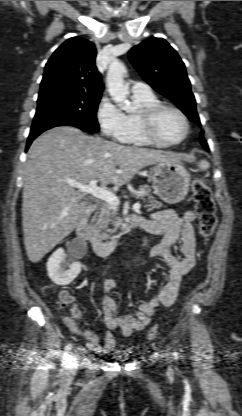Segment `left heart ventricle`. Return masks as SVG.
I'll return each mask as SVG.
<instances>
[{"label": "left heart ventricle", "mask_w": 242, "mask_h": 416, "mask_svg": "<svg viewBox=\"0 0 242 416\" xmlns=\"http://www.w3.org/2000/svg\"><path fill=\"white\" fill-rule=\"evenodd\" d=\"M156 130L163 139L173 141L183 135L184 124L175 112L165 110L157 118Z\"/></svg>", "instance_id": "obj_1"}]
</instances>
